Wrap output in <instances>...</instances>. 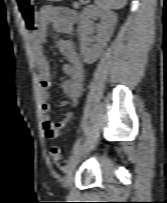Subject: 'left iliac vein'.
Returning a JSON list of instances; mask_svg holds the SVG:
<instances>
[{
    "instance_id": "left-iliac-vein-1",
    "label": "left iliac vein",
    "mask_w": 167,
    "mask_h": 203,
    "mask_svg": "<svg viewBox=\"0 0 167 203\" xmlns=\"http://www.w3.org/2000/svg\"><path fill=\"white\" fill-rule=\"evenodd\" d=\"M83 150H84V146L83 145L79 146V148L72 155L67 166L65 167V186L66 187H68L72 182L73 172L80 161Z\"/></svg>"
}]
</instances>
